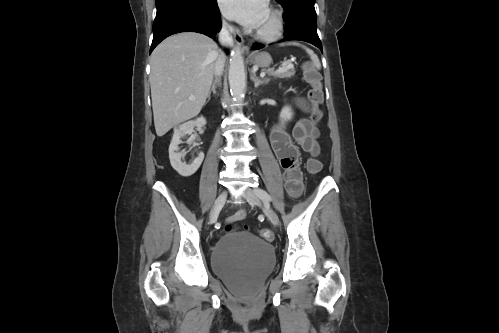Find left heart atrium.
Wrapping results in <instances>:
<instances>
[{
    "instance_id": "left-heart-atrium-1",
    "label": "left heart atrium",
    "mask_w": 499,
    "mask_h": 333,
    "mask_svg": "<svg viewBox=\"0 0 499 333\" xmlns=\"http://www.w3.org/2000/svg\"><path fill=\"white\" fill-rule=\"evenodd\" d=\"M222 13L229 19L257 28L268 13V0H218Z\"/></svg>"
}]
</instances>
